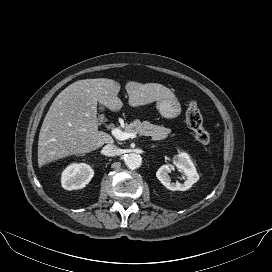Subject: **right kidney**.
Returning a JSON list of instances; mask_svg holds the SVG:
<instances>
[{
    "instance_id": "1",
    "label": "right kidney",
    "mask_w": 272,
    "mask_h": 272,
    "mask_svg": "<svg viewBox=\"0 0 272 272\" xmlns=\"http://www.w3.org/2000/svg\"><path fill=\"white\" fill-rule=\"evenodd\" d=\"M94 176V171L85 163H72L61 176L62 187L66 190H76L84 188Z\"/></svg>"
}]
</instances>
